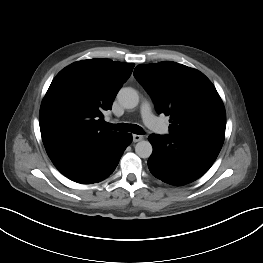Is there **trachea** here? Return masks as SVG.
<instances>
[{"label":"trachea","instance_id":"obj_1","mask_svg":"<svg viewBox=\"0 0 263 263\" xmlns=\"http://www.w3.org/2000/svg\"><path fill=\"white\" fill-rule=\"evenodd\" d=\"M105 127L109 128V129L116 130V131H123V132L131 131L132 133L138 134V135L144 134L143 129L136 124L131 125V124H127V123H121L118 125H112L110 123H105Z\"/></svg>","mask_w":263,"mask_h":263}]
</instances>
